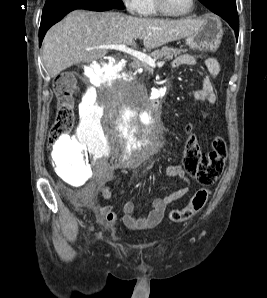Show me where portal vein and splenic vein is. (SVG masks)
<instances>
[{
  "instance_id": "obj_1",
  "label": "portal vein and splenic vein",
  "mask_w": 267,
  "mask_h": 298,
  "mask_svg": "<svg viewBox=\"0 0 267 298\" xmlns=\"http://www.w3.org/2000/svg\"><path fill=\"white\" fill-rule=\"evenodd\" d=\"M96 49H112V50H117V51H122L125 52L127 54H130L134 57H136L137 59H139L140 61L146 63L148 66L155 68L156 66H162L164 62H155V59L151 58L150 56L136 51L134 49H131L129 47H127V45L125 44H107V45H101V46H97L95 47ZM94 48H88V50H92Z\"/></svg>"
}]
</instances>
